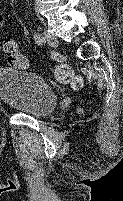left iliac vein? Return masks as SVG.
<instances>
[{"label":"left iliac vein","instance_id":"1","mask_svg":"<svg viewBox=\"0 0 123 201\" xmlns=\"http://www.w3.org/2000/svg\"><path fill=\"white\" fill-rule=\"evenodd\" d=\"M41 35L43 36L44 41H47L50 46L55 48L58 46V40L54 35L46 32L42 33Z\"/></svg>","mask_w":123,"mask_h":201}]
</instances>
